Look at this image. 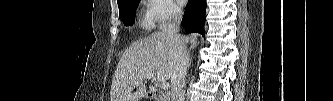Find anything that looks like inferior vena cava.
Returning <instances> with one entry per match:
<instances>
[{"instance_id":"obj_1","label":"inferior vena cava","mask_w":333,"mask_h":101,"mask_svg":"<svg viewBox=\"0 0 333 101\" xmlns=\"http://www.w3.org/2000/svg\"><path fill=\"white\" fill-rule=\"evenodd\" d=\"M182 11L174 9L168 19L159 25L161 32L166 34L174 56V71L171 76V101H184V85L188 68L186 46L179 35Z\"/></svg>"}]
</instances>
